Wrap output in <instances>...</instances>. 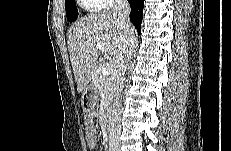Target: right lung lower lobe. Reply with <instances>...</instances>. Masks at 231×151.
I'll return each mask as SVG.
<instances>
[{
    "instance_id": "right-lung-lower-lobe-1",
    "label": "right lung lower lobe",
    "mask_w": 231,
    "mask_h": 151,
    "mask_svg": "<svg viewBox=\"0 0 231 151\" xmlns=\"http://www.w3.org/2000/svg\"><path fill=\"white\" fill-rule=\"evenodd\" d=\"M128 2L131 7L130 20L136 27L137 31L140 33L144 0H128Z\"/></svg>"
}]
</instances>
